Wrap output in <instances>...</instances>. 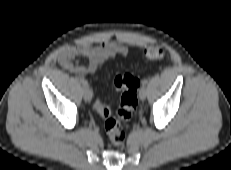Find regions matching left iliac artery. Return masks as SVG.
<instances>
[{"instance_id":"obj_1","label":"left iliac artery","mask_w":231,"mask_h":170,"mask_svg":"<svg viewBox=\"0 0 231 170\" xmlns=\"http://www.w3.org/2000/svg\"><path fill=\"white\" fill-rule=\"evenodd\" d=\"M147 83H148V80H147V79H144V80L142 81V86H146Z\"/></svg>"}]
</instances>
